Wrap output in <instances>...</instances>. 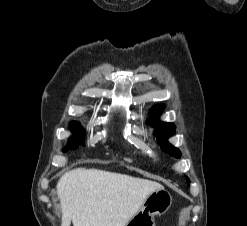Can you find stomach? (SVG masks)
I'll return each instance as SVG.
<instances>
[{
  "instance_id": "0dacf381",
  "label": "stomach",
  "mask_w": 247,
  "mask_h": 226,
  "mask_svg": "<svg viewBox=\"0 0 247 226\" xmlns=\"http://www.w3.org/2000/svg\"><path fill=\"white\" fill-rule=\"evenodd\" d=\"M172 204V196L164 187L152 191L138 212L125 226H155L154 216L164 214Z\"/></svg>"
}]
</instances>
